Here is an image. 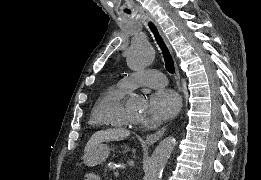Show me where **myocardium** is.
Returning a JSON list of instances; mask_svg holds the SVG:
<instances>
[{
  "mask_svg": "<svg viewBox=\"0 0 261 180\" xmlns=\"http://www.w3.org/2000/svg\"><path fill=\"white\" fill-rule=\"evenodd\" d=\"M116 121H117L118 127L121 130H125V131H127L129 133H133V134L138 133L141 130V126L143 124V121L139 122V123L126 121L125 118H124L123 109H120L118 111V113L116 115Z\"/></svg>",
  "mask_w": 261,
  "mask_h": 180,
  "instance_id": "myocardium-1",
  "label": "myocardium"
}]
</instances>
